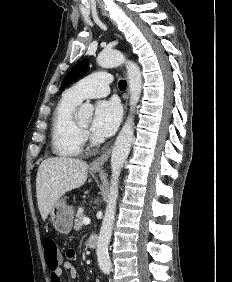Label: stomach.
<instances>
[{"mask_svg":"<svg viewBox=\"0 0 232 282\" xmlns=\"http://www.w3.org/2000/svg\"><path fill=\"white\" fill-rule=\"evenodd\" d=\"M99 172V170H93ZM50 221L54 228L62 234L70 233L73 226L74 210L66 204L64 199H59L50 210Z\"/></svg>","mask_w":232,"mask_h":282,"instance_id":"obj_1","label":"stomach"}]
</instances>
